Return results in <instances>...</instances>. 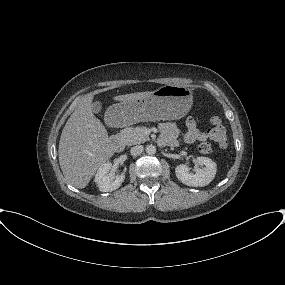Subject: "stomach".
Masks as SVG:
<instances>
[{
    "label": "stomach",
    "mask_w": 285,
    "mask_h": 285,
    "mask_svg": "<svg viewBox=\"0 0 285 285\" xmlns=\"http://www.w3.org/2000/svg\"><path fill=\"white\" fill-rule=\"evenodd\" d=\"M192 103L191 89L185 86L164 85L144 98L110 106L108 116L120 125L176 120L189 112Z\"/></svg>",
    "instance_id": "obj_1"
}]
</instances>
